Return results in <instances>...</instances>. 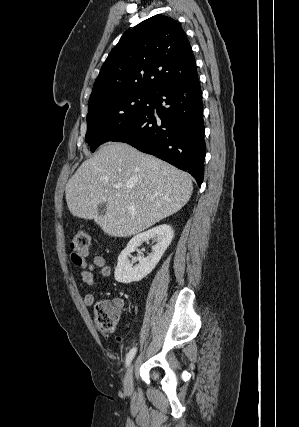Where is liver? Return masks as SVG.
I'll use <instances>...</instances> for the list:
<instances>
[{"label": "liver", "instance_id": "6515ba94", "mask_svg": "<svg viewBox=\"0 0 299 427\" xmlns=\"http://www.w3.org/2000/svg\"><path fill=\"white\" fill-rule=\"evenodd\" d=\"M192 192L185 172L122 142L103 145L65 187L71 214L93 219L112 237L138 234L173 215ZM100 203L107 205L104 215L98 213Z\"/></svg>", "mask_w": 299, "mask_h": 427}]
</instances>
